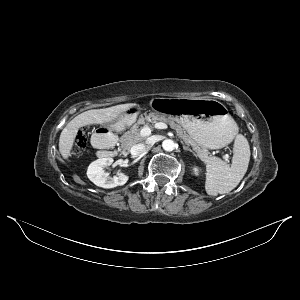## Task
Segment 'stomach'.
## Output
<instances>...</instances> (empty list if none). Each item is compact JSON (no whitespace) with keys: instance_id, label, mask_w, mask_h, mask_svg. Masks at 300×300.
Wrapping results in <instances>:
<instances>
[{"instance_id":"1","label":"stomach","mask_w":300,"mask_h":300,"mask_svg":"<svg viewBox=\"0 0 300 300\" xmlns=\"http://www.w3.org/2000/svg\"><path fill=\"white\" fill-rule=\"evenodd\" d=\"M153 116H170L176 119L189 136L200 146L209 149H220L228 145L237 134L238 128L221 102L214 99L197 98H159L152 104ZM134 105L122 112L111 127L122 131L133 124L140 111Z\"/></svg>"}]
</instances>
